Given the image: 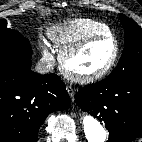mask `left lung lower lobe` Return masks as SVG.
<instances>
[{
    "label": "left lung lower lobe",
    "mask_w": 142,
    "mask_h": 142,
    "mask_svg": "<svg viewBox=\"0 0 142 142\" xmlns=\"http://www.w3.org/2000/svg\"><path fill=\"white\" fill-rule=\"evenodd\" d=\"M75 102L105 123L108 142H131L142 135V73L87 85Z\"/></svg>",
    "instance_id": "left-lung-lower-lobe-1"
}]
</instances>
